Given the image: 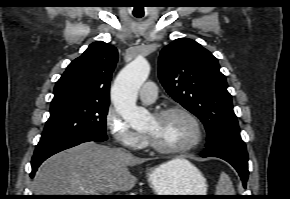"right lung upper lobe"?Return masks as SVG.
I'll return each mask as SVG.
<instances>
[{
	"label": "right lung upper lobe",
	"mask_w": 290,
	"mask_h": 199,
	"mask_svg": "<svg viewBox=\"0 0 290 199\" xmlns=\"http://www.w3.org/2000/svg\"><path fill=\"white\" fill-rule=\"evenodd\" d=\"M117 60L114 46L102 41L92 43L56 82L51 109L75 103L109 104L110 80Z\"/></svg>",
	"instance_id": "cb5924a9"
}]
</instances>
